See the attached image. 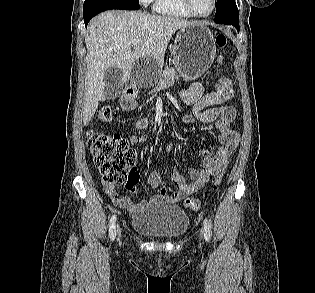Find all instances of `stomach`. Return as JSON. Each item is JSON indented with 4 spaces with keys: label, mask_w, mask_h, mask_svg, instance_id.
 <instances>
[{
    "label": "stomach",
    "mask_w": 315,
    "mask_h": 293,
    "mask_svg": "<svg viewBox=\"0 0 315 293\" xmlns=\"http://www.w3.org/2000/svg\"><path fill=\"white\" fill-rule=\"evenodd\" d=\"M215 53L213 33L201 23L180 29L175 38L174 62L187 81L201 77L213 63ZM119 103L121 110H136L138 103H143V96H135L134 92H123L119 96Z\"/></svg>",
    "instance_id": "0dacf381"
}]
</instances>
